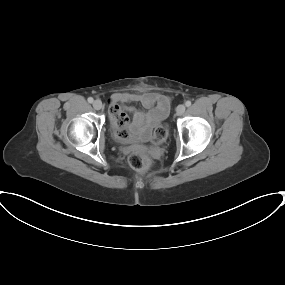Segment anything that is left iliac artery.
Here are the masks:
<instances>
[{"mask_svg":"<svg viewBox=\"0 0 285 285\" xmlns=\"http://www.w3.org/2000/svg\"><path fill=\"white\" fill-rule=\"evenodd\" d=\"M185 105H186L187 107H190V106H191V101H189V100L186 101V102H185Z\"/></svg>","mask_w":285,"mask_h":285,"instance_id":"left-iliac-artery-1","label":"left iliac artery"}]
</instances>
